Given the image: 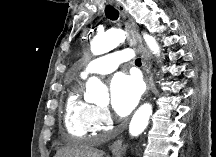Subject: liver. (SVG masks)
Returning <instances> with one entry per match:
<instances>
[{
  "label": "liver",
  "mask_w": 216,
  "mask_h": 157,
  "mask_svg": "<svg viewBox=\"0 0 216 157\" xmlns=\"http://www.w3.org/2000/svg\"><path fill=\"white\" fill-rule=\"evenodd\" d=\"M56 155L57 157H102L103 154L83 143H74L60 150Z\"/></svg>",
  "instance_id": "liver-1"
}]
</instances>
